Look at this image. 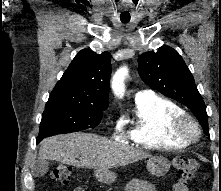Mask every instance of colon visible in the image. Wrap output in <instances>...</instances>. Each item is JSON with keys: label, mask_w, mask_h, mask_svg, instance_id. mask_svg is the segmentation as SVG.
Listing matches in <instances>:
<instances>
[{"label": "colon", "mask_w": 221, "mask_h": 191, "mask_svg": "<svg viewBox=\"0 0 221 191\" xmlns=\"http://www.w3.org/2000/svg\"><path fill=\"white\" fill-rule=\"evenodd\" d=\"M174 166L178 170L183 184L193 178L198 170V163L194 159L185 157L176 158L174 160ZM51 178L55 182L67 184L71 178V169L65 165H60L53 170ZM74 191L83 190L77 188Z\"/></svg>", "instance_id": "colon-1"}]
</instances>
